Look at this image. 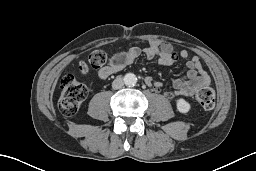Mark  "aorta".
Listing matches in <instances>:
<instances>
[{"mask_svg":"<svg viewBox=\"0 0 256 171\" xmlns=\"http://www.w3.org/2000/svg\"><path fill=\"white\" fill-rule=\"evenodd\" d=\"M123 80L127 86H134L137 83V77L133 73H127Z\"/></svg>","mask_w":256,"mask_h":171,"instance_id":"obj_1","label":"aorta"}]
</instances>
